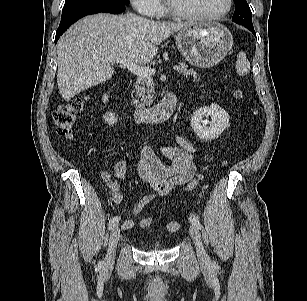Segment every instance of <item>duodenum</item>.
Wrapping results in <instances>:
<instances>
[{"mask_svg":"<svg viewBox=\"0 0 307 301\" xmlns=\"http://www.w3.org/2000/svg\"><path fill=\"white\" fill-rule=\"evenodd\" d=\"M177 104L176 94L170 92L165 95L162 101L153 107H144L140 104H132L131 111L140 122L160 124L168 120Z\"/></svg>","mask_w":307,"mask_h":301,"instance_id":"duodenum-1","label":"duodenum"}]
</instances>
